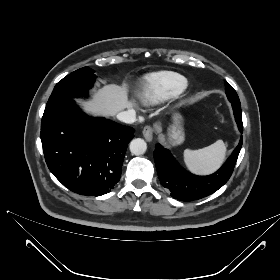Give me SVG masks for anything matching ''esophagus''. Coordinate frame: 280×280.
Listing matches in <instances>:
<instances>
[{
    "instance_id": "34e87169",
    "label": "esophagus",
    "mask_w": 280,
    "mask_h": 280,
    "mask_svg": "<svg viewBox=\"0 0 280 280\" xmlns=\"http://www.w3.org/2000/svg\"><path fill=\"white\" fill-rule=\"evenodd\" d=\"M142 133L147 141H152L154 135V129L151 126H145Z\"/></svg>"
}]
</instances>
